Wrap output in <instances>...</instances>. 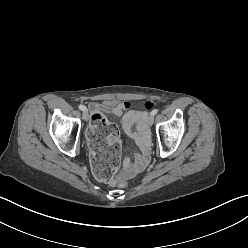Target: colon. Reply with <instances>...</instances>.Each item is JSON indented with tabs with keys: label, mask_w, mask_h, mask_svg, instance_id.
<instances>
[{
	"label": "colon",
	"mask_w": 248,
	"mask_h": 248,
	"mask_svg": "<svg viewBox=\"0 0 248 248\" xmlns=\"http://www.w3.org/2000/svg\"><path fill=\"white\" fill-rule=\"evenodd\" d=\"M154 102L146 101L144 108L151 110ZM85 131L89 135V147L91 169L99 181H109L118 183L120 188H127L129 183L122 175L117 176L118 160L121 156V147L118 140L111 139L117 136L116 126L110 123L107 118L100 112L92 115V122L86 124ZM111 139V140H110ZM108 143V146L106 144Z\"/></svg>",
	"instance_id": "1"
}]
</instances>
